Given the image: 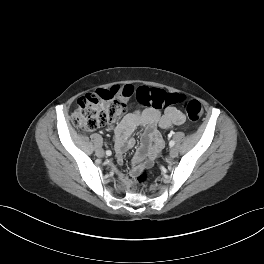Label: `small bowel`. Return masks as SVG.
<instances>
[{
  "mask_svg": "<svg viewBox=\"0 0 264 264\" xmlns=\"http://www.w3.org/2000/svg\"><path fill=\"white\" fill-rule=\"evenodd\" d=\"M185 121L184 114L175 107H169L163 114L156 109L149 108L143 111L137 110L124 117L114 130L118 163L123 162V153L135 144V140L130 138L134 130L139 126L146 128L140 147L132 159L130 173L122 176L124 184L128 185L134 175L143 168L151 166L162 151L164 142L156 128L167 129L173 125H182Z\"/></svg>",
  "mask_w": 264,
  "mask_h": 264,
  "instance_id": "1",
  "label": "small bowel"
}]
</instances>
